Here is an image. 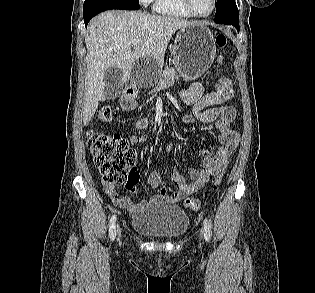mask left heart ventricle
<instances>
[{
    "label": "left heart ventricle",
    "mask_w": 315,
    "mask_h": 293,
    "mask_svg": "<svg viewBox=\"0 0 315 293\" xmlns=\"http://www.w3.org/2000/svg\"><path fill=\"white\" fill-rule=\"evenodd\" d=\"M194 9L199 14H207L211 11L213 2L212 0H192Z\"/></svg>",
    "instance_id": "obj_1"
}]
</instances>
